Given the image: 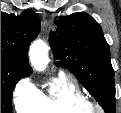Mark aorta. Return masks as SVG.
<instances>
[{"mask_svg": "<svg viewBox=\"0 0 121 113\" xmlns=\"http://www.w3.org/2000/svg\"><path fill=\"white\" fill-rule=\"evenodd\" d=\"M29 59L33 68L44 71L48 65V47L42 40H35L29 50Z\"/></svg>", "mask_w": 121, "mask_h": 113, "instance_id": "obj_1", "label": "aorta"}]
</instances>
